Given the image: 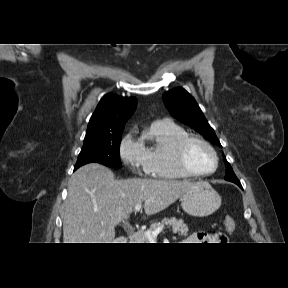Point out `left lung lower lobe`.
I'll return each instance as SVG.
<instances>
[{"label": "left lung lower lobe", "instance_id": "1", "mask_svg": "<svg viewBox=\"0 0 288 288\" xmlns=\"http://www.w3.org/2000/svg\"><path fill=\"white\" fill-rule=\"evenodd\" d=\"M234 183L237 184L239 187L242 188V186H241V184H240V181H235Z\"/></svg>", "mask_w": 288, "mask_h": 288}]
</instances>
